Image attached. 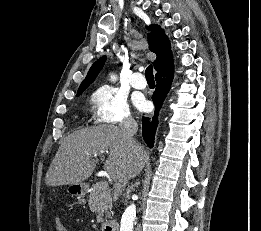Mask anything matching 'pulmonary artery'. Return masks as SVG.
Masks as SVG:
<instances>
[{
	"label": "pulmonary artery",
	"mask_w": 261,
	"mask_h": 231,
	"mask_svg": "<svg viewBox=\"0 0 261 231\" xmlns=\"http://www.w3.org/2000/svg\"><path fill=\"white\" fill-rule=\"evenodd\" d=\"M131 85L135 89H145L147 86V82L144 79L143 75L141 72H134L131 78Z\"/></svg>",
	"instance_id": "1"
}]
</instances>
